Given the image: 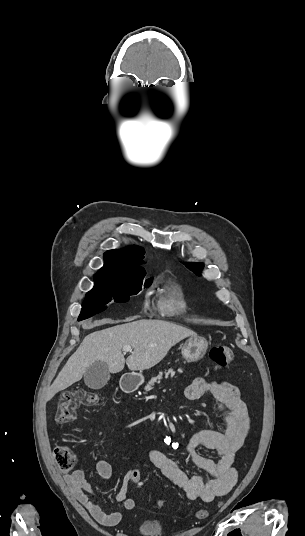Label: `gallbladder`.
Here are the masks:
<instances>
[{"label":"gallbladder","instance_id":"obj_1","mask_svg":"<svg viewBox=\"0 0 305 536\" xmlns=\"http://www.w3.org/2000/svg\"><path fill=\"white\" fill-rule=\"evenodd\" d=\"M110 378V372L106 362H94L89 368H86L84 382L92 390H100L106 386Z\"/></svg>","mask_w":305,"mask_h":536}]
</instances>
